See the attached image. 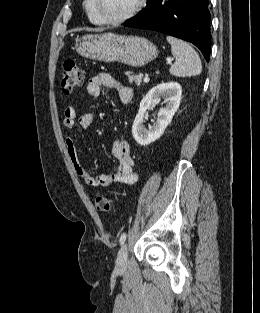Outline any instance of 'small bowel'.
I'll return each mask as SVG.
<instances>
[{
    "instance_id": "1",
    "label": "small bowel",
    "mask_w": 260,
    "mask_h": 313,
    "mask_svg": "<svg viewBox=\"0 0 260 313\" xmlns=\"http://www.w3.org/2000/svg\"><path fill=\"white\" fill-rule=\"evenodd\" d=\"M103 88L116 89L121 103L128 104L132 101L133 90L120 84L113 76L101 73L91 77L88 81L86 92L90 97L96 98L101 94ZM77 114L73 106H68L64 111L63 125L68 130H73L76 124ZM78 123L83 129H88L93 124V114L85 112L78 117ZM68 157L73 169L88 186L92 188L106 187L113 184L136 183L138 177L134 171V160L131 157L130 146L125 141L116 140L112 145V154L118 160L116 170L111 174H93L81 164L76 141L74 137L68 136L65 141Z\"/></svg>"
}]
</instances>
